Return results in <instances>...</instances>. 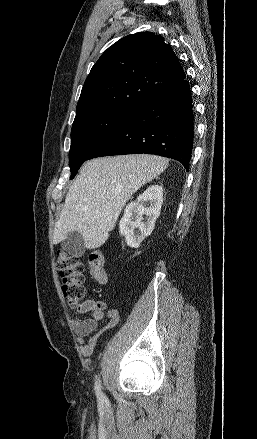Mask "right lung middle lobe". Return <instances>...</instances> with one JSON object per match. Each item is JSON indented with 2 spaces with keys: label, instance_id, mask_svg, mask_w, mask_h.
<instances>
[{
  "label": "right lung middle lobe",
  "instance_id": "1",
  "mask_svg": "<svg viewBox=\"0 0 257 439\" xmlns=\"http://www.w3.org/2000/svg\"><path fill=\"white\" fill-rule=\"evenodd\" d=\"M130 114L114 111H97L75 117L71 130L69 163L71 177L77 174L101 141Z\"/></svg>",
  "mask_w": 257,
  "mask_h": 439
}]
</instances>
